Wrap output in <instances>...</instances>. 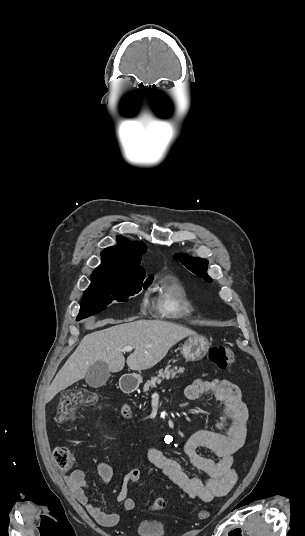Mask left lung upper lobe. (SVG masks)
I'll use <instances>...</instances> for the list:
<instances>
[{"label": "left lung upper lobe", "instance_id": "left-lung-upper-lobe-1", "mask_svg": "<svg viewBox=\"0 0 305 536\" xmlns=\"http://www.w3.org/2000/svg\"><path fill=\"white\" fill-rule=\"evenodd\" d=\"M180 260L189 270L195 273L197 276L205 278L207 281L210 277L206 274L208 261L200 258H191L184 254H177L174 256Z\"/></svg>", "mask_w": 305, "mask_h": 536}]
</instances>
